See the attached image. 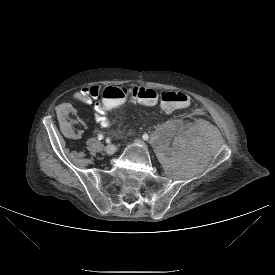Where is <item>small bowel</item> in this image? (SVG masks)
I'll list each match as a JSON object with an SVG mask.
<instances>
[{
	"instance_id": "c3829d8e",
	"label": "small bowel",
	"mask_w": 275,
	"mask_h": 275,
	"mask_svg": "<svg viewBox=\"0 0 275 275\" xmlns=\"http://www.w3.org/2000/svg\"><path fill=\"white\" fill-rule=\"evenodd\" d=\"M102 94V88L98 85H91L82 87L80 90L73 94V99L85 104L94 103L96 111V121L102 127H109L110 121L108 119V111H106L102 106L103 99H99ZM57 116L61 120L60 125L64 134L69 138H77L80 133L75 130L70 124V120L74 116V111L69 103L62 104L58 111Z\"/></svg>"
}]
</instances>
